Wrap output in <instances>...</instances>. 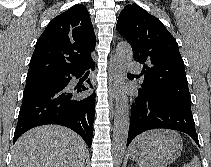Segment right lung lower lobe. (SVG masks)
<instances>
[{
    "mask_svg": "<svg viewBox=\"0 0 211 167\" xmlns=\"http://www.w3.org/2000/svg\"><path fill=\"white\" fill-rule=\"evenodd\" d=\"M88 68L94 69V63L91 62L84 68L48 77L55 81V87L24 91L13 138L14 143L31 128L45 124H58L74 130L85 140L88 147L91 146L96 95L77 98V93L87 88L82 86L78 90H69L67 87L73 76L81 77ZM88 83L90 84L89 80Z\"/></svg>",
    "mask_w": 211,
    "mask_h": 167,
    "instance_id": "right-lung-lower-lobe-1",
    "label": "right lung lower lobe"
}]
</instances>
